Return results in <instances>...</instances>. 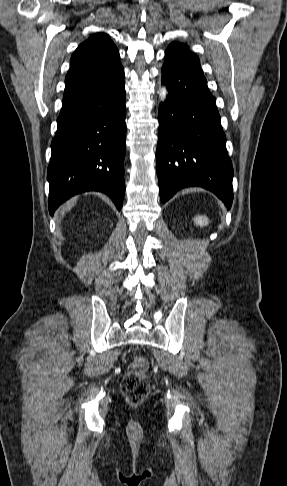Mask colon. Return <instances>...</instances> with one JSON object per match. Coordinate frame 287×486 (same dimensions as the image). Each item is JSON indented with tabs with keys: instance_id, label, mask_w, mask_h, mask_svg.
Returning <instances> with one entry per match:
<instances>
[{
	"instance_id": "colon-1",
	"label": "colon",
	"mask_w": 287,
	"mask_h": 486,
	"mask_svg": "<svg viewBox=\"0 0 287 486\" xmlns=\"http://www.w3.org/2000/svg\"><path fill=\"white\" fill-rule=\"evenodd\" d=\"M148 368V361L142 356H136L123 378L122 391L132 403L141 402L149 393Z\"/></svg>"
}]
</instances>
